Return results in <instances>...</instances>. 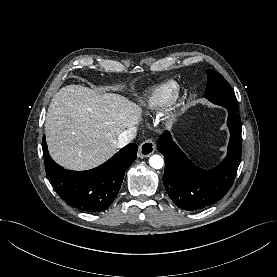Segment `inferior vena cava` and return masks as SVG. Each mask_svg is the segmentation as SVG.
Listing matches in <instances>:
<instances>
[{
    "instance_id": "1",
    "label": "inferior vena cava",
    "mask_w": 277,
    "mask_h": 277,
    "mask_svg": "<svg viewBox=\"0 0 277 277\" xmlns=\"http://www.w3.org/2000/svg\"><path fill=\"white\" fill-rule=\"evenodd\" d=\"M135 136H136V128L132 127V128L125 130L118 136V138L116 140L117 147L118 148L124 147L125 145L130 143V141L132 139H134Z\"/></svg>"
}]
</instances>
